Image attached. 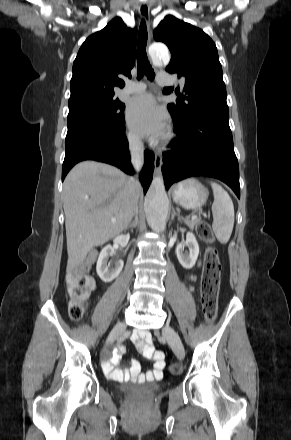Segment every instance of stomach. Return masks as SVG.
<instances>
[{
  "label": "stomach",
  "mask_w": 291,
  "mask_h": 440,
  "mask_svg": "<svg viewBox=\"0 0 291 440\" xmlns=\"http://www.w3.org/2000/svg\"><path fill=\"white\" fill-rule=\"evenodd\" d=\"M208 190L197 180L188 179L179 183L173 191V199L185 209H197L206 203Z\"/></svg>",
  "instance_id": "1"
}]
</instances>
